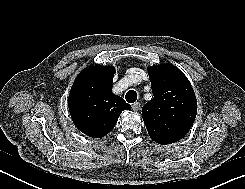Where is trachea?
Masks as SVG:
<instances>
[{
  "label": "trachea",
  "mask_w": 245,
  "mask_h": 189,
  "mask_svg": "<svg viewBox=\"0 0 245 189\" xmlns=\"http://www.w3.org/2000/svg\"><path fill=\"white\" fill-rule=\"evenodd\" d=\"M125 99L129 103H134L137 100V93L134 90H129L126 95Z\"/></svg>",
  "instance_id": "1"
}]
</instances>
